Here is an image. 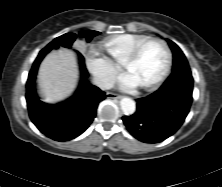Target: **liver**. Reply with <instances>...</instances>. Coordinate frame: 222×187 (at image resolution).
Wrapping results in <instances>:
<instances>
[{
    "mask_svg": "<svg viewBox=\"0 0 222 187\" xmlns=\"http://www.w3.org/2000/svg\"><path fill=\"white\" fill-rule=\"evenodd\" d=\"M78 77L76 55L68 49L52 51L42 61L38 73L42 100L54 103L69 96Z\"/></svg>",
    "mask_w": 222,
    "mask_h": 187,
    "instance_id": "obj_1",
    "label": "liver"
}]
</instances>
